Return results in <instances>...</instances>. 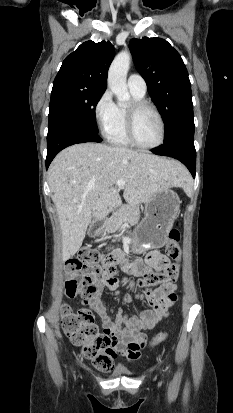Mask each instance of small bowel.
<instances>
[{
	"mask_svg": "<svg viewBox=\"0 0 233 413\" xmlns=\"http://www.w3.org/2000/svg\"><path fill=\"white\" fill-rule=\"evenodd\" d=\"M113 257L116 261L122 260V249L116 248ZM128 261L132 262L133 258L129 257ZM167 265H169V259L164 254L155 249H148L145 261L122 262L121 271L126 272L127 275L144 276L153 270H162ZM105 289L117 294V280H102L96 294L88 298L86 303L101 319L104 333L111 337V347L114 352L129 362H134L140 358L141 349L146 344V331L155 327L168 309L177 303L178 298L175 294L177 286L175 283H165L155 290H147L135 296L126 295L124 297L126 303L133 300L145 301L153 307V309L139 311L135 314L124 313L122 310L109 312L102 300Z\"/></svg>",
	"mask_w": 233,
	"mask_h": 413,
	"instance_id": "obj_1",
	"label": "small bowel"
}]
</instances>
